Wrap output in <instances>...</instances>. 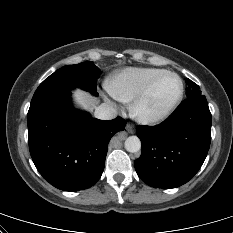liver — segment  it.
<instances>
[{
  "label": "liver",
  "mask_w": 233,
  "mask_h": 233,
  "mask_svg": "<svg viewBox=\"0 0 233 233\" xmlns=\"http://www.w3.org/2000/svg\"><path fill=\"white\" fill-rule=\"evenodd\" d=\"M73 93L76 103L83 109L92 111L96 107L97 101L89 93L80 89H76Z\"/></svg>",
  "instance_id": "obj_1"
}]
</instances>
